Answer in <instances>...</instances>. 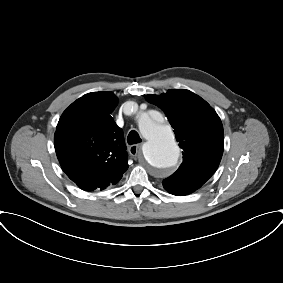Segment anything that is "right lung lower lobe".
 I'll use <instances>...</instances> for the list:
<instances>
[{"mask_svg":"<svg viewBox=\"0 0 283 283\" xmlns=\"http://www.w3.org/2000/svg\"><path fill=\"white\" fill-rule=\"evenodd\" d=\"M61 167H62L63 170H65V168L67 167V165H66V164H62Z\"/></svg>","mask_w":283,"mask_h":283,"instance_id":"right-lung-lower-lobe-1","label":"right lung lower lobe"}]
</instances>
